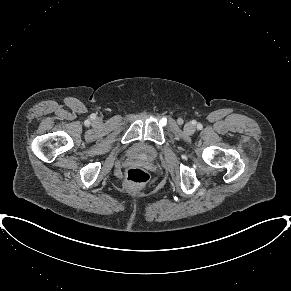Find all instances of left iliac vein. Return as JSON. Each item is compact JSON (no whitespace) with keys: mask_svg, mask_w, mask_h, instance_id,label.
Masks as SVG:
<instances>
[{"mask_svg":"<svg viewBox=\"0 0 291 291\" xmlns=\"http://www.w3.org/2000/svg\"><path fill=\"white\" fill-rule=\"evenodd\" d=\"M184 129H185V132L188 134H192L195 131V127L191 123H187Z\"/></svg>","mask_w":291,"mask_h":291,"instance_id":"4c4485c4","label":"left iliac vein"}]
</instances>
